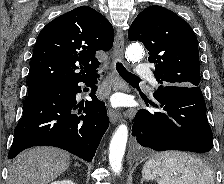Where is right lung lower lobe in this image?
<instances>
[{
    "mask_svg": "<svg viewBox=\"0 0 224 184\" xmlns=\"http://www.w3.org/2000/svg\"><path fill=\"white\" fill-rule=\"evenodd\" d=\"M79 82L92 87L83 111L78 108L76 94ZM96 75L91 78L67 81L29 93L23 101V117L14 130L8 158L33 146H54L91 162L99 142L109 126L105 103L95 91Z\"/></svg>",
    "mask_w": 224,
    "mask_h": 184,
    "instance_id": "obj_1",
    "label": "right lung lower lobe"
}]
</instances>
